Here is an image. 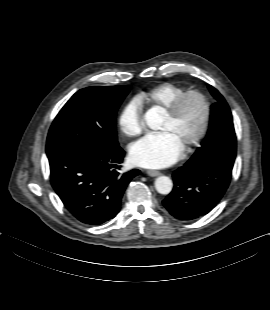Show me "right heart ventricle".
Here are the masks:
<instances>
[{"mask_svg":"<svg viewBox=\"0 0 270 310\" xmlns=\"http://www.w3.org/2000/svg\"><path fill=\"white\" fill-rule=\"evenodd\" d=\"M186 89L180 85L164 82L158 84L138 95V100L150 108L164 111L172 100Z\"/></svg>","mask_w":270,"mask_h":310,"instance_id":"1","label":"right heart ventricle"}]
</instances>
